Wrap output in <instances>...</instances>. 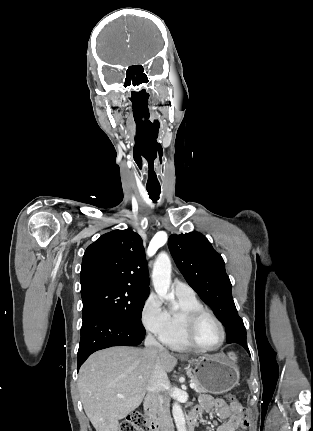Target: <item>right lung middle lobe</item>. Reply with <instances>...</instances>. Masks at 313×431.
<instances>
[{
    "instance_id": "right-lung-middle-lobe-1",
    "label": "right lung middle lobe",
    "mask_w": 313,
    "mask_h": 431,
    "mask_svg": "<svg viewBox=\"0 0 313 431\" xmlns=\"http://www.w3.org/2000/svg\"><path fill=\"white\" fill-rule=\"evenodd\" d=\"M148 295L147 292L125 286L99 290L82 297L83 319L95 312H108L144 328L140 319Z\"/></svg>"
}]
</instances>
